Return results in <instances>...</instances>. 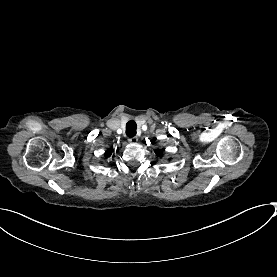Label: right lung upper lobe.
<instances>
[{
	"label": "right lung upper lobe",
	"instance_id": "cb5924a9",
	"mask_svg": "<svg viewBox=\"0 0 277 277\" xmlns=\"http://www.w3.org/2000/svg\"><path fill=\"white\" fill-rule=\"evenodd\" d=\"M112 154H113V149H108L106 152H105V157L106 158H109V157H111L112 156Z\"/></svg>",
	"mask_w": 277,
	"mask_h": 277
}]
</instances>
